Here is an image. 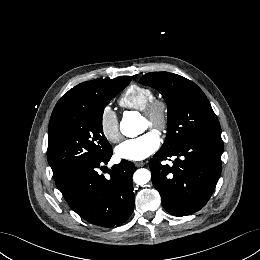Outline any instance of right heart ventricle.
Listing matches in <instances>:
<instances>
[{
    "instance_id": "1",
    "label": "right heart ventricle",
    "mask_w": 260,
    "mask_h": 260,
    "mask_svg": "<svg viewBox=\"0 0 260 260\" xmlns=\"http://www.w3.org/2000/svg\"><path fill=\"white\" fill-rule=\"evenodd\" d=\"M152 98L154 92L150 88L133 84L124 91L119 103L125 108L141 111Z\"/></svg>"
}]
</instances>
